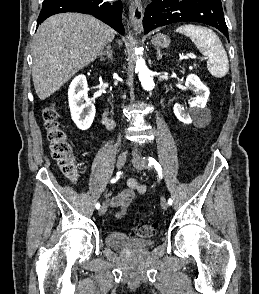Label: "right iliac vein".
Wrapping results in <instances>:
<instances>
[{
  "label": "right iliac vein",
  "instance_id": "obj_1",
  "mask_svg": "<svg viewBox=\"0 0 259 294\" xmlns=\"http://www.w3.org/2000/svg\"><path fill=\"white\" fill-rule=\"evenodd\" d=\"M125 162H126V152H122L117 158V162H116L117 168L121 169L125 165ZM106 210H107V205L103 203V205L100 207L98 211L99 216L104 215Z\"/></svg>",
  "mask_w": 259,
  "mask_h": 294
}]
</instances>
